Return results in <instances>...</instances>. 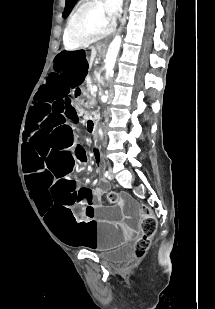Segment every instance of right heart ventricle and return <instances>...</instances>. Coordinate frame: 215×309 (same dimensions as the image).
Listing matches in <instances>:
<instances>
[{
  "instance_id": "obj_1",
  "label": "right heart ventricle",
  "mask_w": 215,
  "mask_h": 309,
  "mask_svg": "<svg viewBox=\"0 0 215 309\" xmlns=\"http://www.w3.org/2000/svg\"><path fill=\"white\" fill-rule=\"evenodd\" d=\"M72 13L70 14L69 18L71 17ZM69 18H68V20H69ZM63 44H64L65 48H74V46H73V44H72V42L70 40V37H66L64 32H63Z\"/></svg>"
}]
</instances>
